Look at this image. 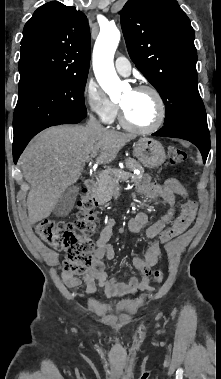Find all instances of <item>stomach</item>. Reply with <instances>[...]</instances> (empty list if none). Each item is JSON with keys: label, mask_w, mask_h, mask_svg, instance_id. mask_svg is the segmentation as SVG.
I'll return each instance as SVG.
<instances>
[{"label": "stomach", "mask_w": 221, "mask_h": 379, "mask_svg": "<svg viewBox=\"0 0 221 379\" xmlns=\"http://www.w3.org/2000/svg\"><path fill=\"white\" fill-rule=\"evenodd\" d=\"M134 155L146 167L157 168L166 160L162 144L152 138H140L134 143Z\"/></svg>", "instance_id": "1"}]
</instances>
